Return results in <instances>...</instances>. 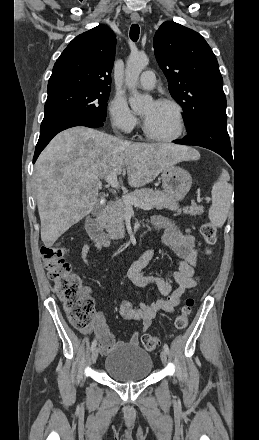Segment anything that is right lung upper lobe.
I'll list each match as a JSON object with an SVG mask.
<instances>
[{
    "label": "right lung upper lobe",
    "instance_id": "1",
    "mask_svg": "<svg viewBox=\"0 0 259 440\" xmlns=\"http://www.w3.org/2000/svg\"><path fill=\"white\" fill-rule=\"evenodd\" d=\"M116 38L105 25L75 37L57 59L48 94L74 88L110 90Z\"/></svg>",
    "mask_w": 259,
    "mask_h": 440
}]
</instances>
